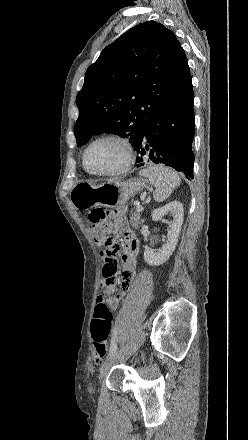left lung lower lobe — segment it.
Returning a JSON list of instances; mask_svg holds the SVG:
<instances>
[{"instance_id":"left-lung-lower-lobe-1","label":"left lung lower lobe","mask_w":248,"mask_h":440,"mask_svg":"<svg viewBox=\"0 0 248 440\" xmlns=\"http://www.w3.org/2000/svg\"><path fill=\"white\" fill-rule=\"evenodd\" d=\"M192 82L170 97L145 126L135 149L136 163L169 166L193 179L195 118Z\"/></svg>"}]
</instances>
